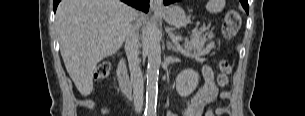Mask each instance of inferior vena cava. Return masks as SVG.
<instances>
[{
  "mask_svg": "<svg viewBox=\"0 0 305 116\" xmlns=\"http://www.w3.org/2000/svg\"><path fill=\"white\" fill-rule=\"evenodd\" d=\"M140 23L130 24L126 33L125 50L131 74V82L133 88L134 107L137 113H141L143 109V76L140 68L139 59V34L138 29Z\"/></svg>",
  "mask_w": 305,
  "mask_h": 116,
  "instance_id": "602c4592",
  "label": "inferior vena cava"
}]
</instances>
